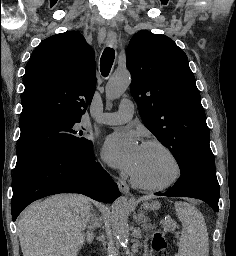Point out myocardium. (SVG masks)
<instances>
[{
    "mask_svg": "<svg viewBox=\"0 0 236 256\" xmlns=\"http://www.w3.org/2000/svg\"><path fill=\"white\" fill-rule=\"evenodd\" d=\"M143 146L145 147H157L163 150L165 153L168 154V156L171 158L174 167L175 172L174 175L166 182L159 184V185H146L138 181L131 173L129 174V181L130 183L137 189L143 190L146 192H159L162 190H165L174 184H176L181 176H182V165L178 158V156L175 154V152L165 143L159 141V140H148L143 143Z\"/></svg>",
    "mask_w": 236,
    "mask_h": 256,
    "instance_id": "obj_1",
    "label": "myocardium"
}]
</instances>
